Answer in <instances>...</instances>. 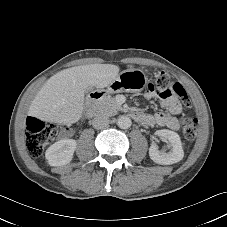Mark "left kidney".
<instances>
[{
	"mask_svg": "<svg viewBox=\"0 0 227 227\" xmlns=\"http://www.w3.org/2000/svg\"><path fill=\"white\" fill-rule=\"evenodd\" d=\"M155 135L168 140L169 152L159 150L155 143L149 148V156L157 164L170 165L181 161L184 157V151L179 135L171 130H157Z\"/></svg>",
	"mask_w": 227,
	"mask_h": 227,
	"instance_id": "5707ae66",
	"label": "left kidney"
}]
</instances>
